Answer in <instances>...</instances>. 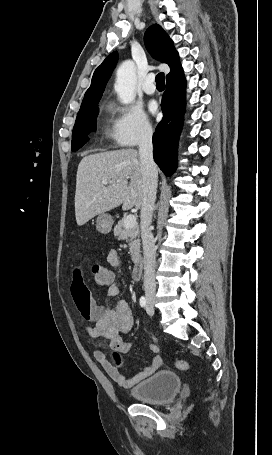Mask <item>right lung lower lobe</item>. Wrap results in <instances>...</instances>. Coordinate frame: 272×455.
<instances>
[{"label":"right lung lower lobe","mask_w":272,"mask_h":455,"mask_svg":"<svg viewBox=\"0 0 272 455\" xmlns=\"http://www.w3.org/2000/svg\"><path fill=\"white\" fill-rule=\"evenodd\" d=\"M185 94L184 73L167 80L161 103L164 117L153 135V157L166 176H171L177 167V144L183 123Z\"/></svg>","instance_id":"1"}]
</instances>
